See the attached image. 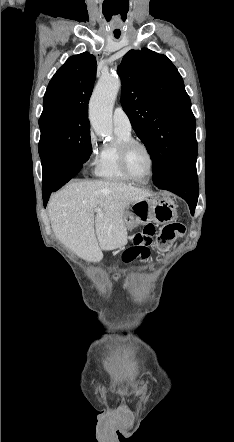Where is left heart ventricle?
I'll list each match as a JSON object with an SVG mask.
<instances>
[{
  "mask_svg": "<svg viewBox=\"0 0 234 442\" xmlns=\"http://www.w3.org/2000/svg\"><path fill=\"white\" fill-rule=\"evenodd\" d=\"M128 166L130 172L138 179L144 180L150 173V161L145 150L134 146L128 154Z\"/></svg>",
  "mask_w": 234,
  "mask_h": 442,
  "instance_id": "b2bd125f",
  "label": "left heart ventricle"
}]
</instances>
